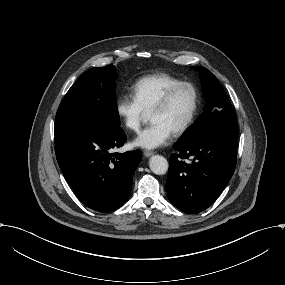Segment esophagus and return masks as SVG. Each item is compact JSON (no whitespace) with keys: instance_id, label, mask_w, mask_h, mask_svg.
I'll list each match as a JSON object with an SVG mask.
<instances>
[{"instance_id":"1","label":"esophagus","mask_w":285,"mask_h":285,"mask_svg":"<svg viewBox=\"0 0 285 285\" xmlns=\"http://www.w3.org/2000/svg\"><path fill=\"white\" fill-rule=\"evenodd\" d=\"M154 153L153 152H151V151H145L144 152V156L145 157H150V156H152Z\"/></svg>"}]
</instances>
